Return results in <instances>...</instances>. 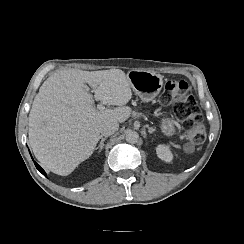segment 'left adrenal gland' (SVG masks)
Segmentation results:
<instances>
[{
	"instance_id": "left-adrenal-gland-1",
	"label": "left adrenal gland",
	"mask_w": 244,
	"mask_h": 244,
	"mask_svg": "<svg viewBox=\"0 0 244 244\" xmlns=\"http://www.w3.org/2000/svg\"><path fill=\"white\" fill-rule=\"evenodd\" d=\"M152 132H153V130L151 128H149V133H152Z\"/></svg>"
}]
</instances>
